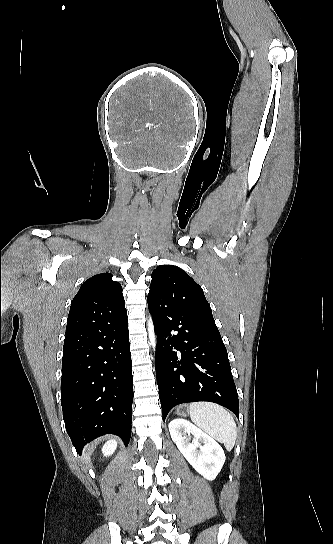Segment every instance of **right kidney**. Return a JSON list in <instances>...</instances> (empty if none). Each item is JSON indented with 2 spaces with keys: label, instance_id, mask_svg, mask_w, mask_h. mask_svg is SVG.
<instances>
[{
  "label": "right kidney",
  "instance_id": "1",
  "mask_svg": "<svg viewBox=\"0 0 333 544\" xmlns=\"http://www.w3.org/2000/svg\"><path fill=\"white\" fill-rule=\"evenodd\" d=\"M116 447H117L116 441L110 440L107 443H105V445L103 446L102 453L104 454V456H109V455L113 454Z\"/></svg>",
  "mask_w": 333,
  "mask_h": 544
}]
</instances>
